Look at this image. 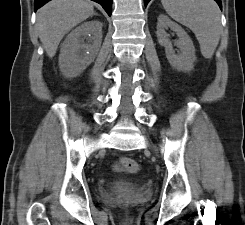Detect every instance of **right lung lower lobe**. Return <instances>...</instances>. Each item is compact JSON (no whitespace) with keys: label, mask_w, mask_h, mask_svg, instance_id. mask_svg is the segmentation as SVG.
Wrapping results in <instances>:
<instances>
[{"label":"right lung lower lobe","mask_w":245,"mask_h":225,"mask_svg":"<svg viewBox=\"0 0 245 225\" xmlns=\"http://www.w3.org/2000/svg\"><path fill=\"white\" fill-rule=\"evenodd\" d=\"M50 0H35L34 1V10L36 11L38 8L43 6L45 3H47ZM103 6L105 11L108 13L109 16H111L112 13V0H93Z\"/></svg>","instance_id":"right-lung-lower-lobe-1"}]
</instances>
